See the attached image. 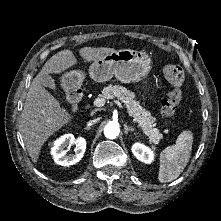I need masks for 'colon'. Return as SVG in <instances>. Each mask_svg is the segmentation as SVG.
<instances>
[{
	"mask_svg": "<svg viewBox=\"0 0 221 221\" xmlns=\"http://www.w3.org/2000/svg\"><path fill=\"white\" fill-rule=\"evenodd\" d=\"M164 76L173 87L161 102V115L166 119V125L169 127L168 119L175 113L183 98L182 87L185 75L180 66L168 65L164 68Z\"/></svg>",
	"mask_w": 221,
	"mask_h": 221,
	"instance_id": "1",
	"label": "colon"
}]
</instances>
